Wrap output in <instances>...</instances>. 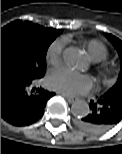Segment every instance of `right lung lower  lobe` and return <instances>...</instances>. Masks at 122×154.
Returning a JSON list of instances; mask_svg holds the SVG:
<instances>
[{
  "label": "right lung lower lobe",
  "mask_w": 122,
  "mask_h": 154,
  "mask_svg": "<svg viewBox=\"0 0 122 154\" xmlns=\"http://www.w3.org/2000/svg\"><path fill=\"white\" fill-rule=\"evenodd\" d=\"M34 84V80L1 64V117L6 122L26 126L43 116L46 103L54 93L35 89Z\"/></svg>",
  "instance_id": "1"
}]
</instances>
